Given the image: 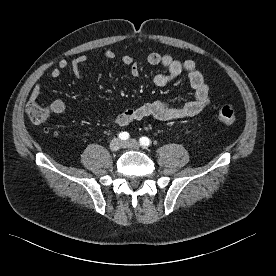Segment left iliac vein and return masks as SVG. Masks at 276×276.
<instances>
[{
	"label": "left iliac vein",
	"instance_id": "1",
	"mask_svg": "<svg viewBox=\"0 0 276 276\" xmlns=\"http://www.w3.org/2000/svg\"><path fill=\"white\" fill-rule=\"evenodd\" d=\"M122 146L124 148H133V149H138L140 147V144L137 140L135 139H129L127 141H124L122 143Z\"/></svg>",
	"mask_w": 276,
	"mask_h": 276
}]
</instances>
